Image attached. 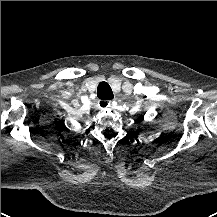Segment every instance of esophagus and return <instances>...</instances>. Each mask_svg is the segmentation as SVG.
I'll return each mask as SVG.
<instances>
[{"label":"esophagus","mask_w":217,"mask_h":217,"mask_svg":"<svg viewBox=\"0 0 217 217\" xmlns=\"http://www.w3.org/2000/svg\"><path fill=\"white\" fill-rule=\"evenodd\" d=\"M98 103L103 107H108L111 104V101L99 100Z\"/></svg>","instance_id":"1"}]
</instances>
